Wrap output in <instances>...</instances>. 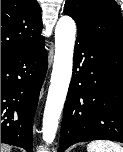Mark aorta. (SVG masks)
Segmentation results:
<instances>
[{"mask_svg":"<svg viewBox=\"0 0 123 152\" xmlns=\"http://www.w3.org/2000/svg\"><path fill=\"white\" fill-rule=\"evenodd\" d=\"M76 24L69 16H62L55 28V55L43 114L42 133L46 143H52L66 100L73 66Z\"/></svg>","mask_w":123,"mask_h":152,"instance_id":"1","label":"aorta"}]
</instances>
